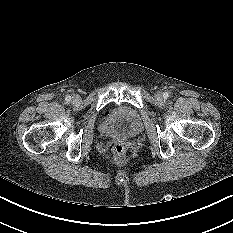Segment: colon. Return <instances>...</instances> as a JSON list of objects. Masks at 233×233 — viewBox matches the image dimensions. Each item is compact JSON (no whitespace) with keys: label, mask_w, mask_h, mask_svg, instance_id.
Wrapping results in <instances>:
<instances>
[{"label":"colon","mask_w":233,"mask_h":233,"mask_svg":"<svg viewBox=\"0 0 233 233\" xmlns=\"http://www.w3.org/2000/svg\"><path fill=\"white\" fill-rule=\"evenodd\" d=\"M112 153H113L114 159L116 161H121L125 157L126 150H125V147L122 144L117 143V144H115L113 146Z\"/></svg>","instance_id":"1"}]
</instances>
